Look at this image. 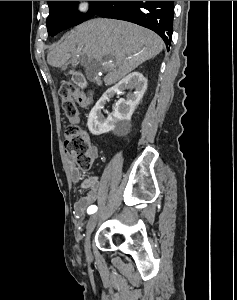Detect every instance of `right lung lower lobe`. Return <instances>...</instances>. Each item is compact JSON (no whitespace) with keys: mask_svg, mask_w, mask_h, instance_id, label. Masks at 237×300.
<instances>
[{"mask_svg":"<svg viewBox=\"0 0 237 300\" xmlns=\"http://www.w3.org/2000/svg\"><path fill=\"white\" fill-rule=\"evenodd\" d=\"M95 15L149 28L162 37L169 50L173 33L174 1H105Z\"/></svg>","mask_w":237,"mask_h":300,"instance_id":"obj_1","label":"right lung lower lobe"}]
</instances>
